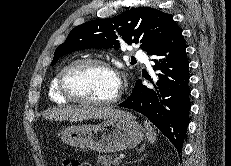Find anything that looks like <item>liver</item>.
<instances>
[{
  "instance_id": "liver-1",
  "label": "liver",
  "mask_w": 231,
  "mask_h": 166,
  "mask_svg": "<svg viewBox=\"0 0 231 166\" xmlns=\"http://www.w3.org/2000/svg\"><path fill=\"white\" fill-rule=\"evenodd\" d=\"M127 113L112 107H92V106H58L46 111L43 116L48 120L72 122L88 119H115Z\"/></svg>"
}]
</instances>
